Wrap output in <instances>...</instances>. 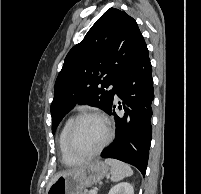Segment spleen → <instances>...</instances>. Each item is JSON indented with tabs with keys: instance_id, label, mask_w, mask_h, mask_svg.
Here are the masks:
<instances>
[{
	"instance_id": "3e777b00",
	"label": "spleen",
	"mask_w": 201,
	"mask_h": 194,
	"mask_svg": "<svg viewBox=\"0 0 201 194\" xmlns=\"http://www.w3.org/2000/svg\"><path fill=\"white\" fill-rule=\"evenodd\" d=\"M105 163L111 167V180L114 182L120 181L125 177L133 174L131 167L121 161L115 159H106Z\"/></svg>"
}]
</instances>
